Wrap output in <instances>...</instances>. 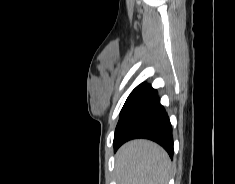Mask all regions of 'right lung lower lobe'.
<instances>
[{
  "label": "right lung lower lobe",
  "mask_w": 235,
  "mask_h": 184,
  "mask_svg": "<svg viewBox=\"0 0 235 184\" xmlns=\"http://www.w3.org/2000/svg\"><path fill=\"white\" fill-rule=\"evenodd\" d=\"M146 138L161 145L173 157L172 126L160 104L157 91L148 84H140L127 98L114 136V152L125 142Z\"/></svg>",
  "instance_id": "obj_1"
}]
</instances>
